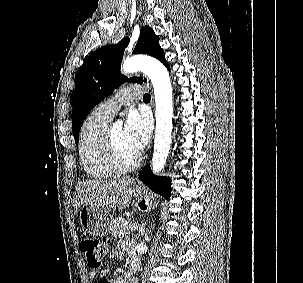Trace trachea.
<instances>
[{"mask_svg":"<svg viewBox=\"0 0 303 283\" xmlns=\"http://www.w3.org/2000/svg\"><path fill=\"white\" fill-rule=\"evenodd\" d=\"M151 99V96H150V94H148V93H146L145 95H144V97H143V100L144 101H149Z\"/></svg>","mask_w":303,"mask_h":283,"instance_id":"3493384b","label":"trachea"}]
</instances>
